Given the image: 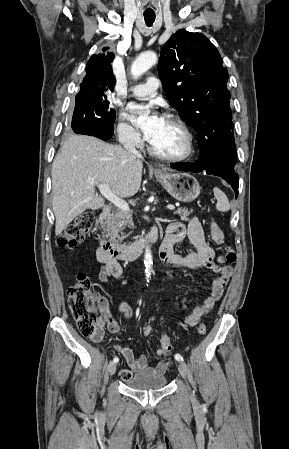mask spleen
<instances>
[{"mask_svg":"<svg viewBox=\"0 0 289 449\" xmlns=\"http://www.w3.org/2000/svg\"><path fill=\"white\" fill-rule=\"evenodd\" d=\"M213 192H214V196L217 200V204H216L217 210H219L221 212L228 211L230 209V204H229V200H228L227 196L225 195V193L217 187H215L213 189Z\"/></svg>","mask_w":289,"mask_h":449,"instance_id":"3e777b00","label":"spleen"}]
</instances>
